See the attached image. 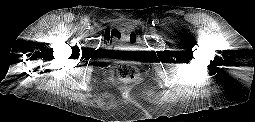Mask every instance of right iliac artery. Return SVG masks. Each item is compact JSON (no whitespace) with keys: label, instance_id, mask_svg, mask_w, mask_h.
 <instances>
[{"label":"right iliac artery","instance_id":"obj_1","mask_svg":"<svg viewBox=\"0 0 255 122\" xmlns=\"http://www.w3.org/2000/svg\"><path fill=\"white\" fill-rule=\"evenodd\" d=\"M85 27L88 29V28H90V25L89 24H85Z\"/></svg>","mask_w":255,"mask_h":122}]
</instances>
